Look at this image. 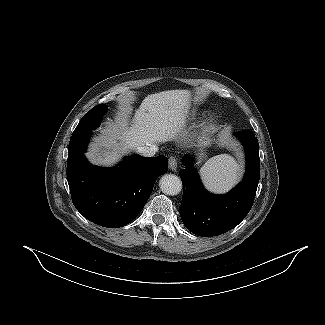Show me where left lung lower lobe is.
<instances>
[{"label":"left lung lower lobe","instance_id":"left-lung-lower-lobe-1","mask_svg":"<svg viewBox=\"0 0 325 325\" xmlns=\"http://www.w3.org/2000/svg\"><path fill=\"white\" fill-rule=\"evenodd\" d=\"M246 151V172L242 182L229 193L207 192L189 155L182 158L186 166L180 171L183 198L180 215L188 230L202 237L223 234L237 226L250 211L260 178L259 144L254 133L244 130L234 133Z\"/></svg>","mask_w":325,"mask_h":325}]
</instances>
